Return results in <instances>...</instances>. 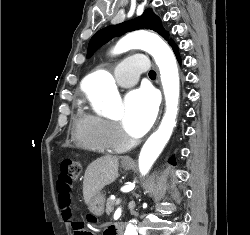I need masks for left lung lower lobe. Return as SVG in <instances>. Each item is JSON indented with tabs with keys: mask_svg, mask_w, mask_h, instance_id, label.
Masks as SVG:
<instances>
[{
	"mask_svg": "<svg viewBox=\"0 0 250 235\" xmlns=\"http://www.w3.org/2000/svg\"><path fill=\"white\" fill-rule=\"evenodd\" d=\"M168 43H169V45L173 48V50H174V52H175V54H176V56H177V58H178V60H179V62H180V57H179V54H178V47H177V45H175L171 40H170ZM169 162L172 163V164H175V159H174V157H172V158L169 160Z\"/></svg>",
	"mask_w": 250,
	"mask_h": 235,
	"instance_id": "1",
	"label": "left lung lower lobe"
}]
</instances>
